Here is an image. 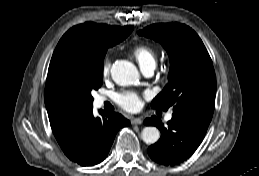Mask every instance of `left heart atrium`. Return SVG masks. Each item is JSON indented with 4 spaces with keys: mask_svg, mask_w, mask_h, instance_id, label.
I'll return each instance as SVG.
<instances>
[{
    "mask_svg": "<svg viewBox=\"0 0 259 176\" xmlns=\"http://www.w3.org/2000/svg\"><path fill=\"white\" fill-rule=\"evenodd\" d=\"M115 100L119 106L128 111H134L140 106L139 95L131 91L118 93L115 96Z\"/></svg>",
    "mask_w": 259,
    "mask_h": 176,
    "instance_id": "obj_1",
    "label": "left heart atrium"
}]
</instances>
